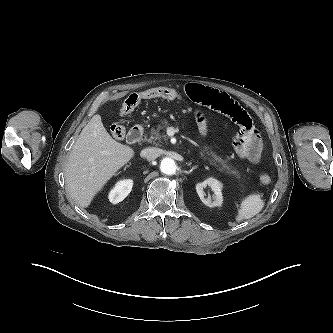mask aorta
<instances>
[{
    "label": "aorta",
    "mask_w": 333,
    "mask_h": 333,
    "mask_svg": "<svg viewBox=\"0 0 333 333\" xmlns=\"http://www.w3.org/2000/svg\"><path fill=\"white\" fill-rule=\"evenodd\" d=\"M160 170L162 173L172 175L175 173L176 164L172 158L166 157L161 160Z\"/></svg>",
    "instance_id": "aorta-1"
}]
</instances>
